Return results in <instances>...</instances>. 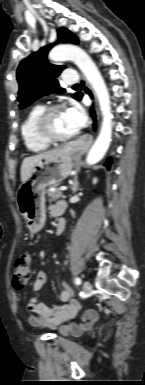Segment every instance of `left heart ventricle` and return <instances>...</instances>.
Listing matches in <instances>:
<instances>
[{
  "mask_svg": "<svg viewBox=\"0 0 145 385\" xmlns=\"http://www.w3.org/2000/svg\"><path fill=\"white\" fill-rule=\"evenodd\" d=\"M50 129L51 132L58 137L70 136L76 132L67 118L65 110L54 113L50 120Z\"/></svg>",
  "mask_w": 145,
  "mask_h": 385,
  "instance_id": "1",
  "label": "left heart ventricle"
}]
</instances>
